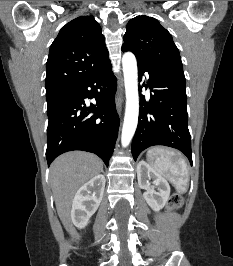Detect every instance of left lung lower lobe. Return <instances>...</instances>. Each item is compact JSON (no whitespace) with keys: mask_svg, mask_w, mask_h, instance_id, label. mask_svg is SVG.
I'll use <instances>...</instances> for the list:
<instances>
[{"mask_svg":"<svg viewBox=\"0 0 233 266\" xmlns=\"http://www.w3.org/2000/svg\"><path fill=\"white\" fill-rule=\"evenodd\" d=\"M139 81L149 74L150 99H140L138 126L132 141L134 160L146 148L165 145L182 151L192 165L188 130L187 96L184 72L179 69H153L138 64Z\"/></svg>","mask_w":233,"mask_h":266,"instance_id":"0a47b994","label":"left lung lower lobe"}]
</instances>
